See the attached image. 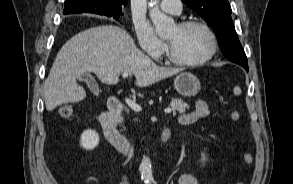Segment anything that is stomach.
<instances>
[{
	"label": "stomach",
	"mask_w": 293,
	"mask_h": 184,
	"mask_svg": "<svg viewBox=\"0 0 293 184\" xmlns=\"http://www.w3.org/2000/svg\"><path fill=\"white\" fill-rule=\"evenodd\" d=\"M175 90L184 97L195 96L201 89L199 79L192 73H180L174 80Z\"/></svg>",
	"instance_id": "obj_1"
}]
</instances>
